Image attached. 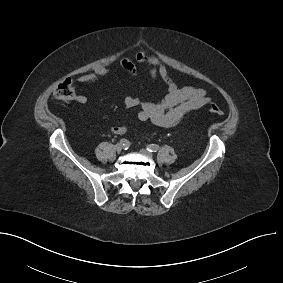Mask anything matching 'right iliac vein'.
<instances>
[{
  "label": "right iliac vein",
  "mask_w": 283,
  "mask_h": 283,
  "mask_svg": "<svg viewBox=\"0 0 283 283\" xmlns=\"http://www.w3.org/2000/svg\"><path fill=\"white\" fill-rule=\"evenodd\" d=\"M115 150H116V152L120 153L123 150L122 144L115 145Z\"/></svg>",
  "instance_id": "right-iliac-vein-1"
}]
</instances>
